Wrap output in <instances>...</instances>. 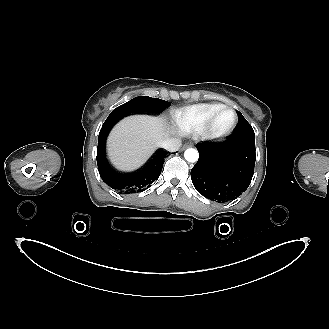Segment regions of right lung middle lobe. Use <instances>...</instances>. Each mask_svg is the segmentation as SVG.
Returning a JSON list of instances; mask_svg holds the SVG:
<instances>
[{
    "instance_id": "1",
    "label": "right lung middle lobe",
    "mask_w": 329,
    "mask_h": 329,
    "mask_svg": "<svg viewBox=\"0 0 329 329\" xmlns=\"http://www.w3.org/2000/svg\"><path fill=\"white\" fill-rule=\"evenodd\" d=\"M168 106L169 102L164 100L148 96H139L115 108L106 120L117 121L125 115L136 112L161 113Z\"/></svg>"
}]
</instances>
